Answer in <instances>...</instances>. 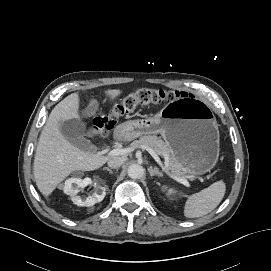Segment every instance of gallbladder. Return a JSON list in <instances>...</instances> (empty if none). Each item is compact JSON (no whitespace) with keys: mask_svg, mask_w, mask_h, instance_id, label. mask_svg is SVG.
Segmentation results:
<instances>
[{"mask_svg":"<svg viewBox=\"0 0 271 271\" xmlns=\"http://www.w3.org/2000/svg\"><path fill=\"white\" fill-rule=\"evenodd\" d=\"M59 130L63 137L75 147L84 151H93L95 149L92 143L84 137L86 126L79 119L71 118L60 121Z\"/></svg>","mask_w":271,"mask_h":271,"instance_id":"1","label":"gallbladder"}]
</instances>
